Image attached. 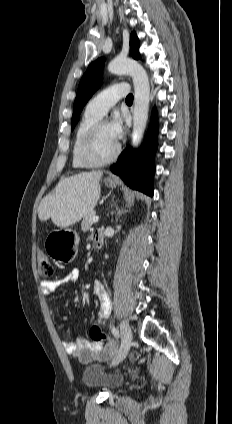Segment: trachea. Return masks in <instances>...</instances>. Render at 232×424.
I'll return each mask as SVG.
<instances>
[{
	"instance_id": "3493384b",
	"label": "trachea",
	"mask_w": 232,
	"mask_h": 424,
	"mask_svg": "<svg viewBox=\"0 0 232 424\" xmlns=\"http://www.w3.org/2000/svg\"><path fill=\"white\" fill-rule=\"evenodd\" d=\"M126 102H129V103L133 102V95H132V94H129V95L126 97Z\"/></svg>"
}]
</instances>
